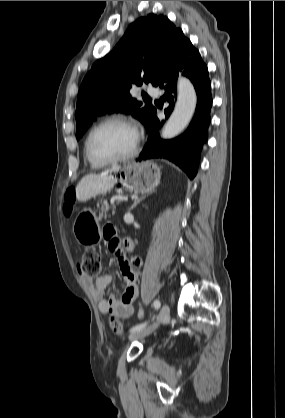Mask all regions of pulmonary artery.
<instances>
[{
  "mask_svg": "<svg viewBox=\"0 0 285 418\" xmlns=\"http://www.w3.org/2000/svg\"><path fill=\"white\" fill-rule=\"evenodd\" d=\"M146 92L153 97L160 96V90L157 87H148Z\"/></svg>",
  "mask_w": 285,
  "mask_h": 418,
  "instance_id": "e3ab8cb5",
  "label": "pulmonary artery"
}]
</instances>
